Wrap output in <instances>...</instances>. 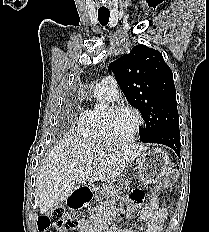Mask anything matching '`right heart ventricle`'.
Masks as SVG:
<instances>
[{"instance_id":"right-heart-ventricle-1","label":"right heart ventricle","mask_w":209,"mask_h":232,"mask_svg":"<svg viewBox=\"0 0 209 232\" xmlns=\"http://www.w3.org/2000/svg\"><path fill=\"white\" fill-rule=\"evenodd\" d=\"M95 96L101 101H111L105 94L100 92H95ZM103 113L98 107H90L84 110L77 120L76 128L79 136L91 142L107 141L103 131Z\"/></svg>"}]
</instances>
